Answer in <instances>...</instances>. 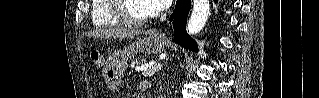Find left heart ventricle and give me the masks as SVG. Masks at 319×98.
Returning a JSON list of instances; mask_svg holds the SVG:
<instances>
[{
	"label": "left heart ventricle",
	"instance_id": "1",
	"mask_svg": "<svg viewBox=\"0 0 319 98\" xmlns=\"http://www.w3.org/2000/svg\"><path fill=\"white\" fill-rule=\"evenodd\" d=\"M123 11L132 18H143L151 14L148 9V3L143 0H126L123 1Z\"/></svg>",
	"mask_w": 319,
	"mask_h": 98
}]
</instances>
